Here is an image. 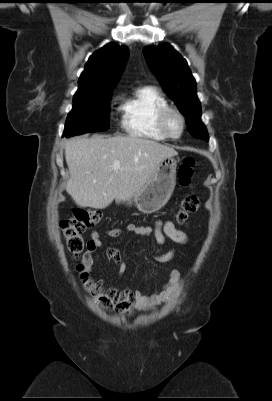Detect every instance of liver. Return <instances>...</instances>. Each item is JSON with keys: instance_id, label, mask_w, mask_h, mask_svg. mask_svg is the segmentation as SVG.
Wrapping results in <instances>:
<instances>
[{"instance_id": "obj_1", "label": "liver", "mask_w": 272, "mask_h": 401, "mask_svg": "<svg viewBox=\"0 0 272 401\" xmlns=\"http://www.w3.org/2000/svg\"><path fill=\"white\" fill-rule=\"evenodd\" d=\"M176 155L173 148L134 135L74 137L65 141L66 191L79 206L104 209L138 193L158 164ZM115 161L118 170L112 169Z\"/></svg>"}]
</instances>
